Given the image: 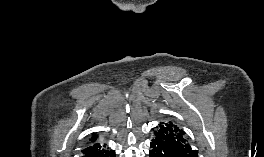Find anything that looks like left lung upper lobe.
Masks as SVG:
<instances>
[{
    "label": "left lung upper lobe",
    "mask_w": 264,
    "mask_h": 157,
    "mask_svg": "<svg viewBox=\"0 0 264 157\" xmlns=\"http://www.w3.org/2000/svg\"><path fill=\"white\" fill-rule=\"evenodd\" d=\"M157 128L155 139H160L171 144L183 157H198L197 151L191 149L185 132L179 129L175 123L171 121L163 122Z\"/></svg>",
    "instance_id": "1"
}]
</instances>
